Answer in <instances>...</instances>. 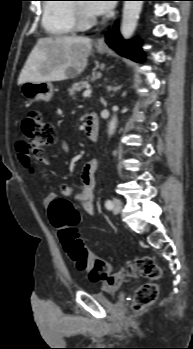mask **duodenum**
<instances>
[{
	"label": "duodenum",
	"mask_w": 193,
	"mask_h": 349,
	"mask_svg": "<svg viewBox=\"0 0 193 349\" xmlns=\"http://www.w3.org/2000/svg\"><path fill=\"white\" fill-rule=\"evenodd\" d=\"M86 137L91 142H96L98 138V118L95 114L91 113L86 118L85 124Z\"/></svg>",
	"instance_id": "duodenum-1"
}]
</instances>
